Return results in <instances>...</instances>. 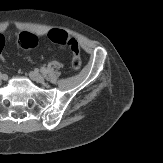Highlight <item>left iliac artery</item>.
Listing matches in <instances>:
<instances>
[{"label": "left iliac artery", "mask_w": 163, "mask_h": 163, "mask_svg": "<svg viewBox=\"0 0 163 163\" xmlns=\"http://www.w3.org/2000/svg\"><path fill=\"white\" fill-rule=\"evenodd\" d=\"M41 72H42L43 74H47L46 68L42 67V68H41Z\"/></svg>", "instance_id": "left-iliac-artery-1"}]
</instances>
